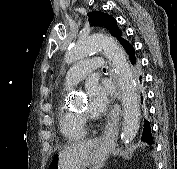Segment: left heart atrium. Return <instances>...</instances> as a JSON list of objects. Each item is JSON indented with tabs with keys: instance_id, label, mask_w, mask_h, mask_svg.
Segmentation results:
<instances>
[{
	"instance_id": "obj_1",
	"label": "left heart atrium",
	"mask_w": 177,
	"mask_h": 169,
	"mask_svg": "<svg viewBox=\"0 0 177 169\" xmlns=\"http://www.w3.org/2000/svg\"><path fill=\"white\" fill-rule=\"evenodd\" d=\"M85 90L89 115L92 117L100 116L108 107L109 96L107 88L97 81L90 80L87 82Z\"/></svg>"
}]
</instances>
